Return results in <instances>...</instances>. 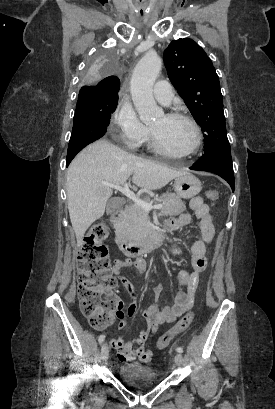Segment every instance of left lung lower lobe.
Returning <instances> with one entry per match:
<instances>
[{
    "label": "left lung lower lobe",
    "instance_id": "obj_1",
    "mask_svg": "<svg viewBox=\"0 0 275 409\" xmlns=\"http://www.w3.org/2000/svg\"><path fill=\"white\" fill-rule=\"evenodd\" d=\"M190 169L215 173L225 179L234 191L235 181L230 147L218 148L204 154Z\"/></svg>",
    "mask_w": 275,
    "mask_h": 409
}]
</instances>
